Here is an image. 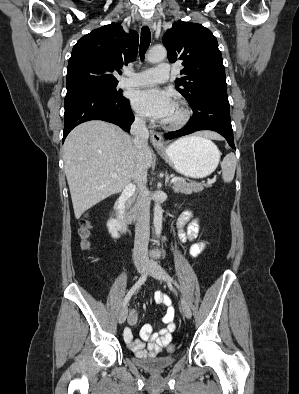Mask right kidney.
<instances>
[{
	"instance_id": "obj_1",
	"label": "right kidney",
	"mask_w": 299,
	"mask_h": 394,
	"mask_svg": "<svg viewBox=\"0 0 299 394\" xmlns=\"http://www.w3.org/2000/svg\"><path fill=\"white\" fill-rule=\"evenodd\" d=\"M107 228L112 238L117 239L120 237L118 231L121 229V225L118 222V220L114 218H110L109 221L107 222Z\"/></svg>"
}]
</instances>
